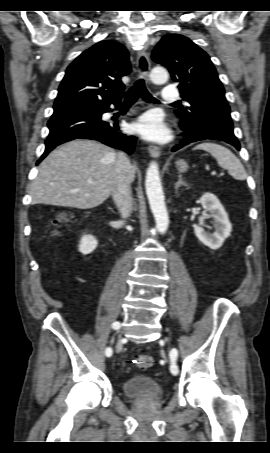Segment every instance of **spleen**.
Instances as JSON below:
<instances>
[{"instance_id":"obj_1","label":"spleen","mask_w":270,"mask_h":453,"mask_svg":"<svg viewBox=\"0 0 270 453\" xmlns=\"http://www.w3.org/2000/svg\"><path fill=\"white\" fill-rule=\"evenodd\" d=\"M194 149L209 152L217 160L218 165L228 170L234 179L245 180L247 178L244 166L228 148L216 143L206 142L197 145Z\"/></svg>"}]
</instances>
